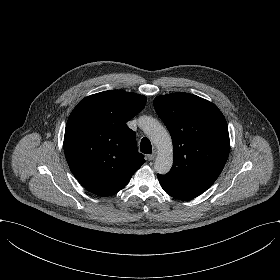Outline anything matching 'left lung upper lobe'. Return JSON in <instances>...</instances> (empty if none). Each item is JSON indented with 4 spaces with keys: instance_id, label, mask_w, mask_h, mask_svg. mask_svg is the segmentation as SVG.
<instances>
[{
    "instance_id": "obj_1",
    "label": "left lung upper lobe",
    "mask_w": 280,
    "mask_h": 280,
    "mask_svg": "<svg viewBox=\"0 0 280 280\" xmlns=\"http://www.w3.org/2000/svg\"><path fill=\"white\" fill-rule=\"evenodd\" d=\"M154 107L173 141V167L158 175L159 182L174 198H195L215 182L227 161V122L213 103L184 92L158 96Z\"/></svg>"
}]
</instances>
